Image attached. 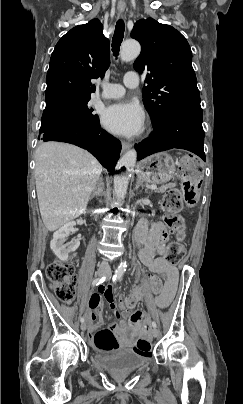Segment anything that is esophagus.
<instances>
[{
  "mask_svg": "<svg viewBox=\"0 0 243 404\" xmlns=\"http://www.w3.org/2000/svg\"><path fill=\"white\" fill-rule=\"evenodd\" d=\"M117 8H118V11L120 13H122L124 11V9H125V7H120V6H118ZM130 147H131V144L129 142H122V150L123 151L128 150Z\"/></svg>",
  "mask_w": 243,
  "mask_h": 404,
  "instance_id": "esophagus-1",
  "label": "esophagus"
}]
</instances>
